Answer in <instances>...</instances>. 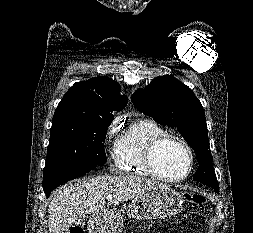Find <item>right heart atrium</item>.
<instances>
[{
	"label": "right heart atrium",
	"mask_w": 253,
	"mask_h": 233,
	"mask_svg": "<svg viewBox=\"0 0 253 233\" xmlns=\"http://www.w3.org/2000/svg\"><path fill=\"white\" fill-rule=\"evenodd\" d=\"M115 131H116V123H112L107 130L106 136L109 137V136L113 135L115 133Z\"/></svg>",
	"instance_id": "obj_1"
}]
</instances>
